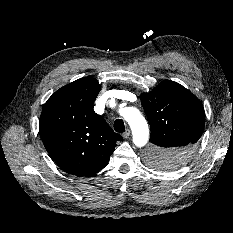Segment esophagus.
I'll return each instance as SVG.
<instances>
[{"instance_id":"1","label":"esophagus","mask_w":233,"mask_h":233,"mask_svg":"<svg viewBox=\"0 0 233 233\" xmlns=\"http://www.w3.org/2000/svg\"><path fill=\"white\" fill-rule=\"evenodd\" d=\"M130 133H131L130 129L127 128L125 132L122 134L123 138H128Z\"/></svg>"}]
</instances>
